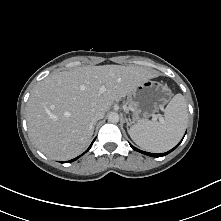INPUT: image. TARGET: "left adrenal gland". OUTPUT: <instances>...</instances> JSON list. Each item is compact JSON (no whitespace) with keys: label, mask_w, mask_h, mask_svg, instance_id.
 Listing matches in <instances>:
<instances>
[{"label":"left adrenal gland","mask_w":221,"mask_h":221,"mask_svg":"<svg viewBox=\"0 0 221 221\" xmlns=\"http://www.w3.org/2000/svg\"><path fill=\"white\" fill-rule=\"evenodd\" d=\"M126 123H127V130H128V128L130 126V123H129L128 119H126Z\"/></svg>","instance_id":"obj_1"}]
</instances>
